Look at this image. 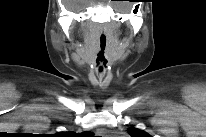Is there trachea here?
Segmentation results:
<instances>
[{"label":"trachea","instance_id":"trachea-1","mask_svg":"<svg viewBox=\"0 0 206 137\" xmlns=\"http://www.w3.org/2000/svg\"><path fill=\"white\" fill-rule=\"evenodd\" d=\"M104 47H105V46H102V43H101V48L104 49Z\"/></svg>","mask_w":206,"mask_h":137}]
</instances>
